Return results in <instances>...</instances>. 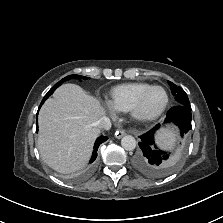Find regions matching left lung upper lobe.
<instances>
[{
    "mask_svg": "<svg viewBox=\"0 0 223 223\" xmlns=\"http://www.w3.org/2000/svg\"><path fill=\"white\" fill-rule=\"evenodd\" d=\"M168 84L171 86L172 93L175 96L178 105L190 106L189 99L185 91L170 81H168Z\"/></svg>",
    "mask_w": 223,
    "mask_h": 223,
    "instance_id": "5c2ea615",
    "label": "left lung upper lobe"
}]
</instances>
